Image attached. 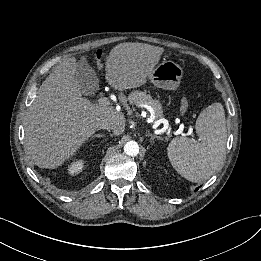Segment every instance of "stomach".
<instances>
[{
    "instance_id": "0dacf381",
    "label": "stomach",
    "mask_w": 261,
    "mask_h": 261,
    "mask_svg": "<svg viewBox=\"0 0 261 261\" xmlns=\"http://www.w3.org/2000/svg\"><path fill=\"white\" fill-rule=\"evenodd\" d=\"M182 76V67L171 60H167L155 67L148 79L157 88L176 90L181 83Z\"/></svg>"
}]
</instances>
